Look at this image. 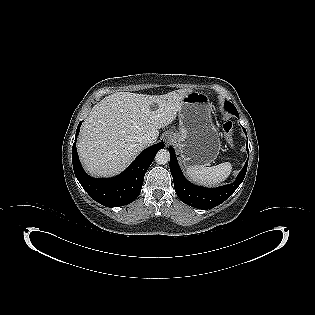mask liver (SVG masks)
Returning a JSON list of instances; mask_svg holds the SVG:
<instances>
[{"instance_id":"liver-1","label":"liver","mask_w":315,"mask_h":315,"mask_svg":"<svg viewBox=\"0 0 315 315\" xmlns=\"http://www.w3.org/2000/svg\"><path fill=\"white\" fill-rule=\"evenodd\" d=\"M190 92L179 89L163 95L116 92L106 96L91 109L81 128L77 150L84 169L103 177L122 172L146 147L141 138L151 135L157 139L158 130L175 120Z\"/></svg>"}]
</instances>
